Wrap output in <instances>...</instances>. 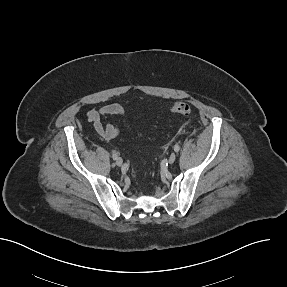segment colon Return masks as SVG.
<instances>
[{"label":"colon","instance_id":"1","mask_svg":"<svg viewBox=\"0 0 287 287\" xmlns=\"http://www.w3.org/2000/svg\"><path fill=\"white\" fill-rule=\"evenodd\" d=\"M170 110L174 115L186 116L191 113L192 107L190 103L186 101H176Z\"/></svg>","mask_w":287,"mask_h":287}]
</instances>
